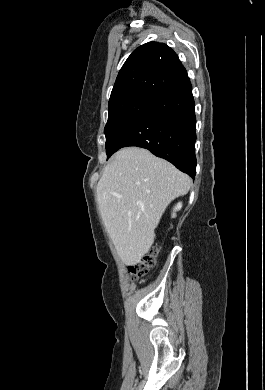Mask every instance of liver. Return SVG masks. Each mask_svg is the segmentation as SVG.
<instances>
[{
    "label": "liver",
    "mask_w": 265,
    "mask_h": 390,
    "mask_svg": "<svg viewBox=\"0 0 265 390\" xmlns=\"http://www.w3.org/2000/svg\"><path fill=\"white\" fill-rule=\"evenodd\" d=\"M191 179L148 150L126 147L107 164L97 184L105 228L126 266L136 265L154 243L166 207L188 193Z\"/></svg>",
    "instance_id": "obj_1"
}]
</instances>
